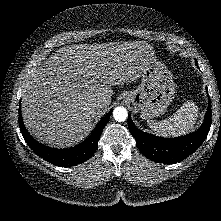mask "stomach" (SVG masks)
<instances>
[{"label": "stomach", "mask_w": 221, "mask_h": 221, "mask_svg": "<svg viewBox=\"0 0 221 221\" xmlns=\"http://www.w3.org/2000/svg\"><path fill=\"white\" fill-rule=\"evenodd\" d=\"M171 71L157 59L147 62L141 73L139 88L126 91L124 98L140 112L142 119L162 115L175 96Z\"/></svg>", "instance_id": "stomach-1"}]
</instances>
